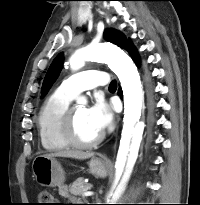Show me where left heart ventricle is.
I'll use <instances>...</instances> for the list:
<instances>
[{
	"instance_id": "left-heart-ventricle-1",
	"label": "left heart ventricle",
	"mask_w": 200,
	"mask_h": 205,
	"mask_svg": "<svg viewBox=\"0 0 200 205\" xmlns=\"http://www.w3.org/2000/svg\"><path fill=\"white\" fill-rule=\"evenodd\" d=\"M75 132L82 141H91L101 133L92 122L89 110L84 105L75 107Z\"/></svg>"
}]
</instances>
